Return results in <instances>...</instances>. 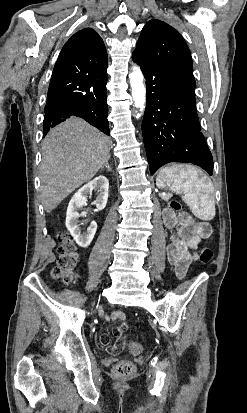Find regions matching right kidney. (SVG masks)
<instances>
[{
  "instance_id": "obj_1",
  "label": "right kidney",
  "mask_w": 247,
  "mask_h": 413,
  "mask_svg": "<svg viewBox=\"0 0 247 413\" xmlns=\"http://www.w3.org/2000/svg\"><path fill=\"white\" fill-rule=\"evenodd\" d=\"M109 188V180L103 174H99L84 186H81L75 194H73L66 213V227L68 231H70L74 241H76L79 247H83V249H87L89 247L91 241H93V237L97 231V223L92 221L91 225H89L86 233H82L80 229L79 223V215L78 211L82 209L83 204H87V196H90L92 190H96L97 196L93 202L96 204L97 211H102L105 209L106 202L108 200V190Z\"/></svg>"
}]
</instances>
